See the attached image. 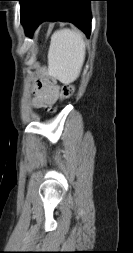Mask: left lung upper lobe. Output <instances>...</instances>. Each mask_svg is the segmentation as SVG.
<instances>
[{"mask_svg":"<svg viewBox=\"0 0 133 253\" xmlns=\"http://www.w3.org/2000/svg\"><path fill=\"white\" fill-rule=\"evenodd\" d=\"M16 1H19L21 3L23 0H16Z\"/></svg>","mask_w":133,"mask_h":253,"instance_id":"obj_1","label":"left lung upper lobe"}]
</instances>
